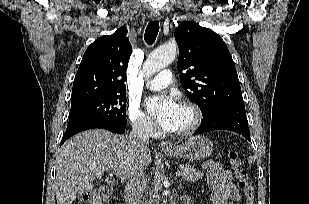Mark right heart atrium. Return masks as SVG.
I'll return each instance as SVG.
<instances>
[{
    "mask_svg": "<svg viewBox=\"0 0 309 204\" xmlns=\"http://www.w3.org/2000/svg\"><path fill=\"white\" fill-rule=\"evenodd\" d=\"M129 119L133 128L145 135L152 136L156 131V127L151 119L140 109L136 102L130 103L129 105Z\"/></svg>",
    "mask_w": 309,
    "mask_h": 204,
    "instance_id": "1",
    "label": "right heart atrium"
}]
</instances>
